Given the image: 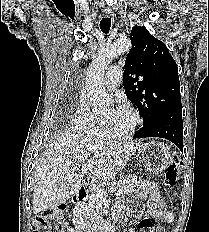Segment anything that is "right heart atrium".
<instances>
[{
    "instance_id": "1",
    "label": "right heart atrium",
    "mask_w": 209,
    "mask_h": 232,
    "mask_svg": "<svg viewBox=\"0 0 209 232\" xmlns=\"http://www.w3.org/2000/svg\"><path fill=\"white\" fill-rule=\"evenodd\" d=\"M91 118L92 112L89 108L88 100L86 96L81 95L72 119L73 129L83 131Z\"/></svg>"
}]
</instances>
